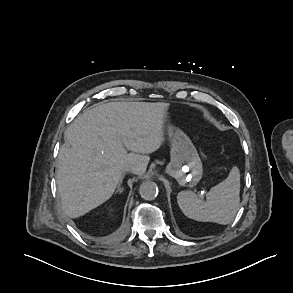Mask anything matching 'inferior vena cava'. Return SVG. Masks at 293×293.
Returning a JSON list of instances; mask_svg holds the SVG:
<instances>
[{
  "label": "inferior vena cava",
  "instance_id": "inferior-vena-cava-1",
  "mask_svg": "<svg viewBox=\"0 0 293 293\" xmlns=\"http://www.w3.org/2000/svg\"><path fill=\"white\" fill-rule=\"evenodd\" d=\"M134 171V168L132 166H128L124 169V172H133Z\"/></svg>",
  "mask_w": 293,
  "mask_h": 293
}]
</instances>
